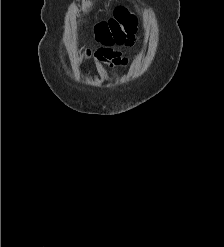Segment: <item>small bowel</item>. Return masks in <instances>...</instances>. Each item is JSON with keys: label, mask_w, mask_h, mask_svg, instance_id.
<instances>
[{"label": "small bowel", "mask_w": 224, "mask_h": 247, "mask_svg": "<svg viewBox=\"0 0 224 247\" xmlns=\"http://www.w3.org/2000/svg\"><path fill=\"white\" fill-rule=\"evenodd\" d=\"M140 37L136 31L122 34L110 40H98L100 46L93 50L87 48L82 56V60L86 61L90 58L103 61L109 64L110 71H115L118 67H126L129 65V59L123 55L122 48L133 47ZM114 46L121 49L115 50Z\"/></svg>", "instance_id": "obj_1"}]
</instances>
